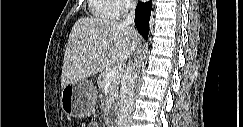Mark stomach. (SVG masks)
<instances>
[{
    "mask_svg": "<svg viewBox=\"0 0 243 127\" xmlns=\"http://www.w3.org/2000/svg\"><path fill=\"white\" fill-rule=\"evenodd\" d=\"M97 100L95 86L87 81L80 80L62 88L60 102L64 113L75 118L88 116Z\"/></svg>",
    "mask_w": 243,
    "mask_h": 127,
    "instance_id": "stomach-1",
    "label": "stomach"
}]
</instances>
